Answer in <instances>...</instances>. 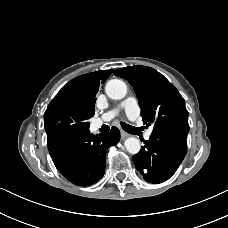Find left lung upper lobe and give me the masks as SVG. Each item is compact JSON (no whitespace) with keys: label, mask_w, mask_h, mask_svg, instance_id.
<instances>
[{"label":"left lung upper lobe","mask_w":228,"mask_h":228,"mask_svg":"<svg viewBox=\"0 0 228 228\" xmlns=\"http://www.w3.org/2000/svg\"><path fill=\"white\" fill-rule=\"evenodd\" d=\"M132 85L139 100L144 124L153 131H169L187 138L188 111L178 90L158 71L147 66H130L114 71Z\"/></svg>","instance_id":"left-lung-upper-lobe-1"}]
</instances>
